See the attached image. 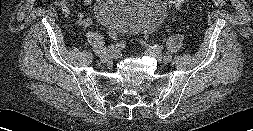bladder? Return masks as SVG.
<instances>
[{
  "instance_id": "31cf9c89",
  "label": "bladder",
  "mask_w": 253,
  "mask_h": 131,
  "mask_svg": "<svg viewBox=\"0 0 253 131\" xmlns=\"http://www.w3.org/2000/svg\"><path fill=\"white\" fill-rule=\"evenodd\" d=\"M97 20L114 32H151L164 20L162 0H96Z\"/></svg>"
}]
</instances>
